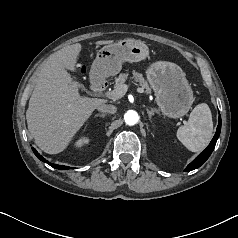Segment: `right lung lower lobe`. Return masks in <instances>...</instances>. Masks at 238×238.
<instances>
[{
    "mask_svg": "<svg viewBox=\"0 0 238 238\" xmlns=\"http://www.w3.org/2000/svg\"><path fill=\"white\" fill-rule=\"evenodd\" d=\"M34 154L43 162L45 163H48L50 166H52L53 168H56V169H60V170H66V169H69L68 166H63V165H57V164H52V163H49L48 161H46L34 148H32Z\"/></svg>",
    "mask_w": 238,
    "mask_h": 238,
    "instance_id": "right-lung-lower-lobe-1",
    "label": "right lung lower lobe"
}]
</instances>
